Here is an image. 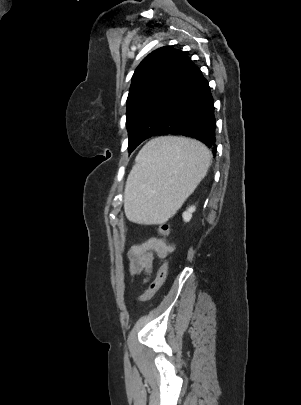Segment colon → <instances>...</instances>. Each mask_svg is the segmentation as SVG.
<instances>
[{"label": "colon", "instance_id": "obj_1", "mask_svg": "<svg viewBox=\"0 0 301 405\" xmlns=\"http://www.w3.org/2000/svg\"><path fill=\"white\" fill-rule=\"evenodd\" d=\"M158 230L160 234H162L163 236H169L170 234V226L166 223L160 224L158 226ZM167 272H168V263L165 261L159 267L155 280L150 284L146 292L143 293L141 296H139L137 300L139 302H145L150 300L165 282Z\"/></svg>", "mask_w": 301, "mask_h": 405}]
</instances>
